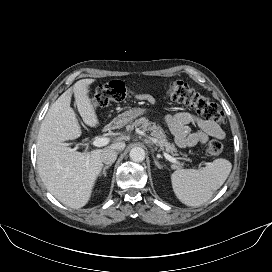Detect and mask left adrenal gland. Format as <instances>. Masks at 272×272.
<instances>
[{
  "instance_id": "1",
  "label": "left adrenal gland",
  "mask_w": 272,
  "mask_h": 272,
  "mask_svg": "<svg viewBox=\"0 0 272 272\" xmlns=\"http://www.w3.org/2000/svg\"><path fill=\"white\" fill-rule=\"evenodd\" d=\"M153 159H154V163H155V165L159 168V169H161L162 168V165H160V163L156 160V158L153 156Z\"/></svg>"
}]
</instances>
